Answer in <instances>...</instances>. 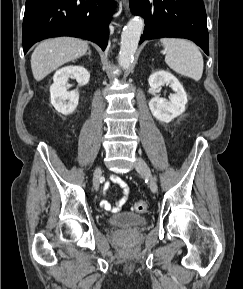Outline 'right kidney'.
Wrapping results in <instances>:
<instances>
[{
    "instance_id": "1",
    "label": "right kidney",
    "mask_w": 243,
    "mask_h": 289,
    "mask_svg": "<svg viewBox=\"0 0 243 289\" xmlns=\"http://www.w3.org/2000/svg\"><path fill=\"white\" fill-rule=\"evenodd\" d=\"M69 77H74L83 86L89 82L90 73L82 66H66L55 72L50 87L51 104L63 115L72 113L79 101L78 92H68L66 89Z\"/></svg>"
}]
</instances>
